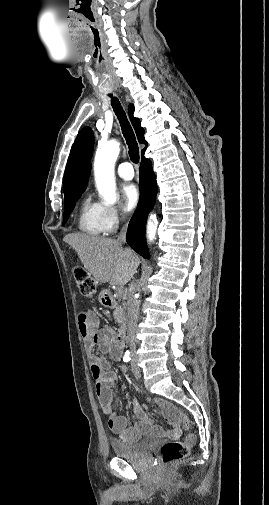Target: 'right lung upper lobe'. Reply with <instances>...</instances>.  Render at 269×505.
I'll list each match as a JSON object with an SVG mask.
<instances>
[{"instance_id": "cb5924a9", "label": "right lung upper lobe", "mask_w": 269, "mask_h": 505, "mask_svg": "<svg viewBox=\"0 0 269 505\" xmlns=\"http://www.w3.org/2000/svg\"><path fill=\"white\" fill-rule=\"evenodd\" d=\"M129 117L135 129L139 143L147 145L144 139V129L140 125V120L133 116L134 106L128 107ZM93 132L89 127H84L77 135L73 143L71 152L67 161L63 180V189L65 200L84 191L87 187L90 169L91 155L93 148ZM146 148L142 149V155Z\"/></svg>"}]
</instances>
